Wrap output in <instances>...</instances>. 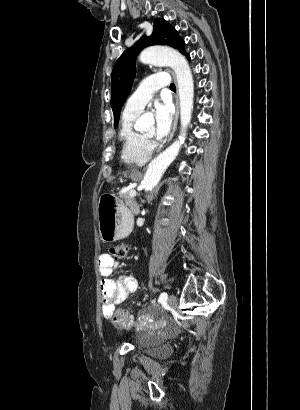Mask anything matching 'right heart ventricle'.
Instances as JSON below:
<instances>
[{"label":"right heart ventricle","instance_id":"obj_1","mask_svg":"<svg viewBox=\"0 0 300 410\" xmlns=\"http://www.w3.org/2000/svg\"><path fill=\"white\" fill-rule=\"evenodd\" d=\"M138 112L124 111L119 128L121 159L126 164L142 165L149 161L151 148L133 124Z\"/></svg>","mask_w":300,"mask_h":410}]
</instances>
